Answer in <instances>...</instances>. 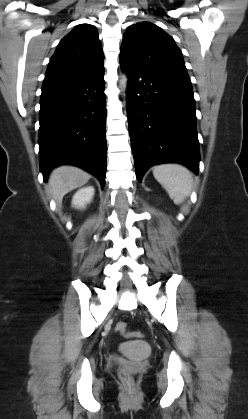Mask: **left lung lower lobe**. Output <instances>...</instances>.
<instances>
[{
  "label": "left lung lower lobe",
  "instance_id": "0a47b994",
  "mask_svg": "<svg viewBox=\"0 0 248 419\" xmlns=\"http://www.w3.org/2000/svg\"><path fill=\"white\" fill-rule=\"evenodd\" d=\"M128 74L129 133L136 176L153 165L177 162L196 174L199 145L191 83L144 70L120 59Z\"/></svg>",
  "mask_w": 248,
  "mask_h": 419
}]
</instances>
